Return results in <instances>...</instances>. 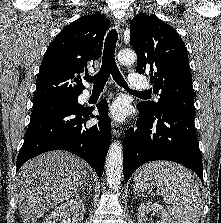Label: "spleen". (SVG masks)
Listing matches in <instances>:
<instances>
[{"label":"spleen","instance_id":"spleen-1","mask_svg":"<svg viewBox=\"0 0 221 223\" xmlns=\"http://www.w3.org/2000/svg\"><path fill=\"white\" fill-rule=\"evenodd\" d=\"M156 187L175 223H199L201 195L191 172L179 164L159 161L142 166L135 173L133 187L143 191Z\"/></svg>","mask_w":221,"mask_h":223}]
</instances>
